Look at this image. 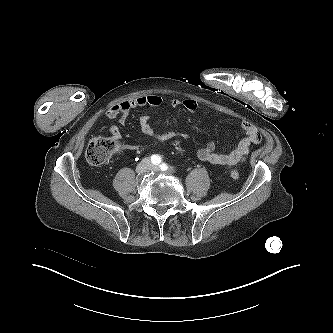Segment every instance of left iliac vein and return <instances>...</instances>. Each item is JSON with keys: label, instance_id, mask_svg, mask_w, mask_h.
I'll use <instances>...</instances> for the list:
<instances>
[{"label": "left iliac vein", "instance_id": "left-iliac-vein-1", "mask_svg": "<svg viewBox=\"0 0 333 333\" xmlns=\"http://www.w3.org/2000/svg\"><path fill=\"white\" fill-rule=\"evenodd\" d=\"M150 170H151V171H155V172H157V171L160 170V168H159L158 166L151 165Z\"/></svg>", "mask_w": 333, "mask_h": 333}]
</instances>
